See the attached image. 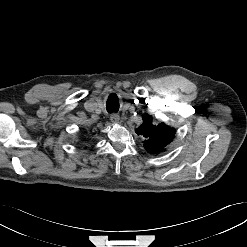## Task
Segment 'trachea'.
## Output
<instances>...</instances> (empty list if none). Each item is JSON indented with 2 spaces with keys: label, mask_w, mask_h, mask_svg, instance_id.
I'll return each instance as SVG.
<instances>
[{
  "label": "trachea",
  "mask_w": 247,
  "mask_h": 247,
  "mask_svg": "<svg viewBox=\"0 0 247 247\" xmlns=\"http://www.w3.org/2000/svg\"><path fill=\"white\" fill-rule=\"evenodd\" d=\"M106 109H107L108 113L117 112L119 110L118 99H114L112 97H109V99L107 100Z\"/></svg>",
  "instance_id": "3493384b"
}]
</instances>
